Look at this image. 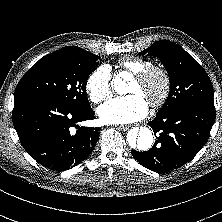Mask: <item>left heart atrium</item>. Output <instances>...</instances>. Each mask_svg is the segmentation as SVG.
I'll return each mask as SVG.
<instances>
[{"label": "left heart atrium", "mask_w": 222, "mask_h": 222, "mask_svg": "<svg viewBox=\"0 0 222 222\" xmlns=\"http://www.w3.org/2000/svg\"><path fill=\"white\" fill-rule=\"evenodd\" d=\"M149 110L148 102L137 93L117 97L98 108L104 123L128 124L143 119Z\"/></svg>", "instance_id": "1"}]
</instances>
